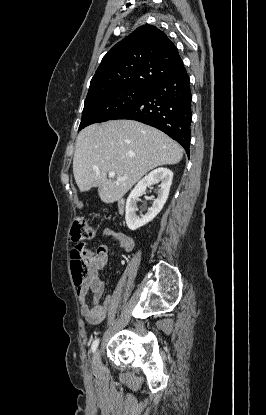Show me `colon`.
Masks as SVG:
<instances>
[{"label": "colon", "mask_w": 266, "mask_h": 415, "mask_svg": "<svg viewBox=\"0 0 266 415\" xmlns=\"http://www.w3.org/2000/svg\"><path fill=\"white\" fill-rule=\"evenodd\" d=\"M96 229L86 217H77L72 225L70 236L72 241L79 242L95 236ZM71 266L73 279L76 285H81L94 269L86 259L84 250L80 245L74 246L71 253Z\"/></svg>", "instance_id": "colon-1"}]
</instances>
